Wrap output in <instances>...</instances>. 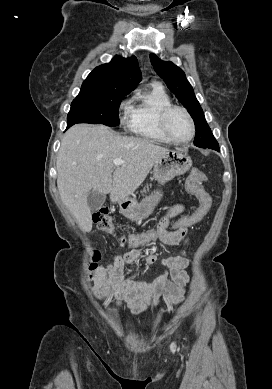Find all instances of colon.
Masks as SVG:
<instances>
[{"instance_id":"obj_1","label":"colon","mask_w":272,"mask_h":389,"mask_svg":"<svg viewBox=\"0 0 272 389\" xmlns=\"http://www.w3.org/2000/svg\"><path fill=\"white\" fill-rule=\"evenodd\" d=\"M206 180L207 177L203 171L199 169L191 170L187 178L186 186L187 190L198 198L199 206L190 213L183 214L174 222L169 223L168 227L166 228L167 232L187 229L200 221L208 213L211 206V199L204 188V183ZM92 219L101 230L108 233L113 232V223L111 217L109 216L108 208L103 207L97 210L93 214ZM159 234L160 231L156 228L140 234L130 235L125 238V240L126 244L132 247L146 246L156 241L159 237ZM98 258L99 255L96 253L93 257V261L95 262ZM94 266H96L95 263H92L91 269H93Z\"/></svg>"}]
</instances>
